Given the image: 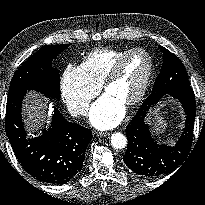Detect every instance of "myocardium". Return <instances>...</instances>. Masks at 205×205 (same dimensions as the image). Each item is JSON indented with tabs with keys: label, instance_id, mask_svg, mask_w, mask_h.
Wrapping results in <instances>:
<instances>
[{
	"label": "myocardium",
	"instance_id": "1",
	"mask_svg": "<svg viewBox=\"0 0 205 205\" xmlns=\"http://www.w3.org/2000/svg\"><path fill=\"white\" fill-rule=\"evenodd\" d=\"M137 53H143L147 56V58L149 60V66H148L147 73L145 75V78L142 82V85H141L139 91L136 93V95L132 99L125 102L124 105L126 107H131V106L138 104L144 98V96L146 95L148 88L150 86V83H151V80L153 77V73H154V58L147 50H145L143 48H134V49L127 51L124 55H122L116 61V63L112 66L109 73L106 75V77L104 78V80L101 83V90L106 92L109 85L120 76L124 63L131 56H133L134 54H137Z\"/></svg>",
	"mask_w": 205,
	"mask_h": 205
}]
</instances>
